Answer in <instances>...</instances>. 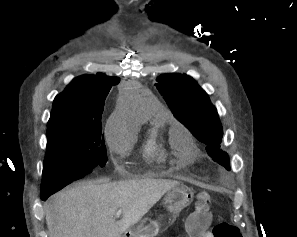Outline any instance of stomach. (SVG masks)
<instances>
[{
    "label": "stomach",
    "instance_id": "1",
    "mask_svg": "<svg viewBox=\"0 0 297 237\" xmlns=\"http://www.w3.org/2000/svg\"><path fill=\"white\" fill-rule=\"evenodd\" d=\"M192 200L193 192L183 185H178L167 192L164 203L169 211L178 213ZM159 230L160 226L157 220L145 218L137 225L131 226L121 237H155Z\"/></svg>",
    "mask_w": 297,
    "mask_h": 237
}]
</instances>
